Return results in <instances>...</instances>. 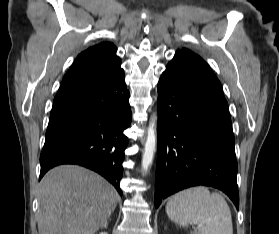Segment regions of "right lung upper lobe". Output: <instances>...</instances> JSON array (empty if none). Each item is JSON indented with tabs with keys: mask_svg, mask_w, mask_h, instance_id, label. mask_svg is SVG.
Listing matches in <instances>:
<instances>
[{
	"mask_svg": "<svg viewBox=\"0 0 279 234\" xmlns=\"http://www.w3.org/2000/svg\"><path fill=\"white\" fill-rule=\"evenodd\" d=\"M116 51L112 43L102 42L80 53L65 74L57 94L88 86L114 74L121 65Z\"/></svg>",
	"mask_w": 279,
	"mask_h": 234,
	"instance_id": "cb5924a9",
	"label": "right lung upper lobe"
}]
</instances>
